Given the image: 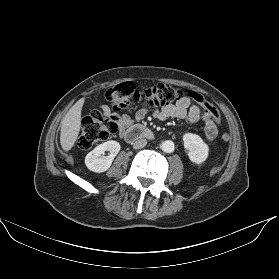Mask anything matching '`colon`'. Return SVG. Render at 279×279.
<instances>
[{
  "mask_svg": "<svg viewBox=\"0 0 279 279\" xmlns=\"http://www.w3.org/2000/svg\"><path fill=\"white\" fill-rule=\"evenodd\" d=\"M190 96L203 106L218 125V110L202 95L191 92ZM104 98L110 103L111 110L109 109L108 112L93 111L83 118L77 142L81 150H89L112 136L119 127L118 112L129 107L131 103H136L143 109L168 106L178 102L182 98V92L168 84H157L139 90L133 82L126 81L107 90ZM222 138L225 142L229 140L226 133Z\"/></svg>",
  "mask_w": 279,
  "mask_h": 279,
  "instance_id": "colon-1",
  "label": "colon"
}]
</instances>
